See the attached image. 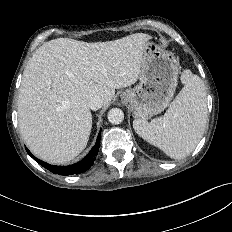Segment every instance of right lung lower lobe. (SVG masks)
<instances>
[{"label": "right lung lower lobe", "instance_id": "98d812e1", "mask_svg": "<svg viewBox=\"0 0 232 232\" xmlns=\"http://www.w3.org/2000/svg\"><path fill=\"white\" fill-rule=\"evenodd\" d=\"M100 139H101V133H99L97 137V141L93 146V148L91 149V151L89 152V154L80 162L69 166L50 165L34 157L28 149L27 152L37 163H39L41 166H43L44 168H46L47 170L51 171L54 174H59V175L79 174L85 172L93 165L99 151Z\"/></svg>", "mask_w": 232, "mask_h": 232}]
</instances>
